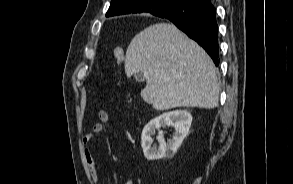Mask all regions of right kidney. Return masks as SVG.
I'll use <instances>...</instances> for the list:
<instances>
[{"label": "right kidney", "instance_id": "obj_1", "mask_svg": "<svg viewBox=\"0 0 293 184\" xmlns=\"http://www.w3.org/2000/svg\"><path fill=\"white\" fill-rule=\"evenodd\" d=\"M192 116L186 110H176L163 113L158 117L151 120L143 129L141 135V146L144 156L147 160H159L163 158H172L181 146L184 138L188 135L191 127ZM172 126L174 127L173 137L167 143L163 139V132L161 127ZM155 130L159 131L157 140L159 147H151L152 135Z\"/></svg>", "mask_w": 293, "mask_h": 184}]
</instances>
